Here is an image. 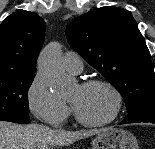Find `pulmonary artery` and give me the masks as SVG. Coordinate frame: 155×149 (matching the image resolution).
Here are the masks:
<instances>
[{
    "label": "pulmonary artery",
    "instance_id": "e3ab8cb5",
    "mask_svg": "<svg viewBox=\"0 0 155 149\" xmlns=\"http://www.w3.org/2000/svg\"><path fill=\"white\" fill-rule=\"evenodd\" d=\"M63 66L66 71L78 74L83 70V61L79 54L67 52L63 57Z\"/></svg>",
    "mask_w": 155,
    "mask_h": 149
}]
</instances>
